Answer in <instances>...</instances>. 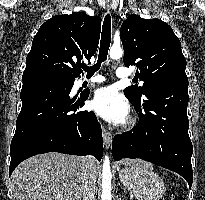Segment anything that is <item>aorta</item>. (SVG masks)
<instances>
[{"instance_id": "1", "label": "aorta", "mask_w": 205, "mask_h": 200, "mask_svg": "<svg viewBox=\"0 0 205 200\" xmlns=\"http://www.w3.org/2000/svg\"><path fill=\"white\" fill-rule=\"evenodd\" d=\"M109 55L112 59H119L123 55V50L120 46L113 45L110 49ZM112 173L110 168L109 157L105 156L102 166V193L101 200H111V185Z\"/></svg>"}]
</instances>
